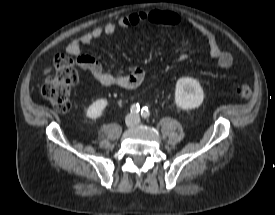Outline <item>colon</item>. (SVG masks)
<instances>
[{
	"mask_svg": "<svg viewBox=\"0 0 275 215\" xmlns=\"http://www.w3.org/2000/svg\"><path fill=\"white\" fill-rule=\"evenodd\" d=\"M77 81L78 74L71 56L67 53L59 54L53 66L46 71L42 95L58 112L65 113L71 107V89ZM234 92L242 99H247L252 94L251 88L246 84H238Z\"/></svg>",
	"mask_w": 275,
	"mask_h": 215,
	"instance_id": "obj_1",
	"label": "colon"
}]
</instances>
